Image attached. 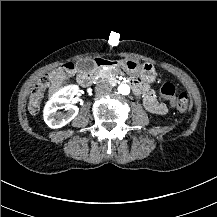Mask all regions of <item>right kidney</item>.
Here are the masks:
<instances>
[{"label":"right kidney","instance_id":"ca27d5eb","mask_svg":"<svg viewBox=\"0 0 217 217\" xmlns=\"http://www.w3.org/2000/svg\"><path fill=\"white\" fill-rule=\"evenodd\" d=\"M76 89V87H67L49 101L44 110V119L50 128H62L78 115L79 108L72 103ZM62 108H65V112Z\"/></svg>","mask_w":217,"mask_h":217}]
</instances>
